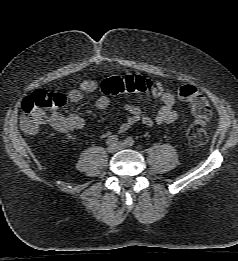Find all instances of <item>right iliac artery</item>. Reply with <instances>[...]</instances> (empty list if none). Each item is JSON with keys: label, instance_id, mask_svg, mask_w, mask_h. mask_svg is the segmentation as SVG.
Segmentation results:
<instances>
[{"label": "right iliac artery", "instance_id": "right-iliac-artery-1", "mask_svg": "<svg viewBox=\"0 0 238 261\" xmlns=\"http://www.w3.org/2000/svg\"><path fill=\"white\" fill-rule=\"evenodd\" d=\"M118 136L116 135H112V136H109L108 139L106 140V144L108 146H111V145H116V143L118 142Z\"/></svg>", "mask_w": 238, "mask_h": 261}]
</instances>
